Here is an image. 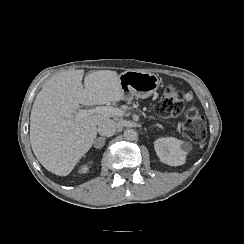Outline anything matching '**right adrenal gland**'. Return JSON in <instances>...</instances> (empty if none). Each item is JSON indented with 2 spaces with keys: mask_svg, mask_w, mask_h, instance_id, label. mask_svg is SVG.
<instances>
[{
  "mask_svg": "<svg viewBox=\"0 0 244 244\" xmlns=\"http://www.w3.org/2000/svg\"><path fill=\"white\" fill-rule=\"evenodd\" d=\"M102 139L103 141H106V138H96V141Z\"/></svg>",
  "mask_w": 244,
  "mask_h": 244,
  "instance_id": "right-adrenal-gland-1",
  "label": "right adrenal gland"
}]
</instances>
